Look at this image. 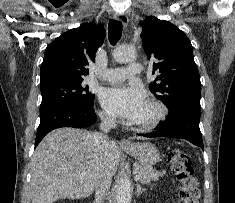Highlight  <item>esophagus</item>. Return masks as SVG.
<instances>
[{
	"label": "esophagus",
	"instance_id": "1",
	"mask_svg": "<svg viewBox=\"0 0 235 203\" xmlns=\"http://www.w3.org/2000/svg\"><path fill=\"white\" fill-rule=\"evenodd\" d=\"M113 17H114L115 20L122 22L124 27H126L128 25L129 19H128V16L126 14H117V13H115L113 15ZM119 144L122 145V146H129V145H131V142L128 139L123 138V139L120 140Z\"/></svg>",
	"mask_w": 235,
	"mask_h": 203
}]
</instances>
